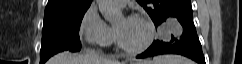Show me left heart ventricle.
<instances>
[{
    "mask_svg": "<svg viewBox=\"0 0 242 64\" xmlns=\"http://www.w3.org/2000/svg\"><path fill=\"white\" fill-rule=\"evenodd\" d=\"M116 28L124 43L131 47L142 45L148 37L147 25L139 20L123 17L116 23Z\"/></svg>",
    "mask_w": 242,
    "mask_h": 64,
    "instance_id": "left-heart-ventricle-1",
    "label": "left heart ventricle"
}]
</instances>
